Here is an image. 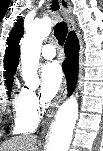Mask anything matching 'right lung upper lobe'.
Wrapping results in <instances>:
<instances>
[{
  "mask_svg": "<svg viewBox=\"0 0 103 151\" xmlns=\"http://www.w3.org/2000/svg\"><path fill=\"white\" fill-rule=\"evenodd\" d=\"M23 19L17 20L7 39V49L4 56L5 79L13 80L19 62V42L23 36Z\"/></svg>",
  "mask_w": 103,
  "mask_h": 151,
  "instance_id": "right-lung-upper-lobe-1",
  "label": "right lung upper lobe"
}]
</instances>
